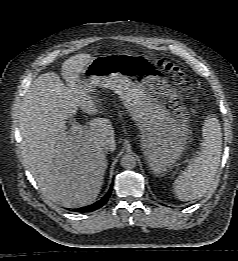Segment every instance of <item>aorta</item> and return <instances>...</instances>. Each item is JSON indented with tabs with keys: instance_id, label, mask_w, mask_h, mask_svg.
Returning a JSON list of instances; mask_svg holds the SVG:
<instances>
[{
	"instance_id": "obj_1",
	"label": "aorta",
	"mask_w": 238,
	"mask_h": 261,
	"mask_svg": "<svg viewBox=\"0 0 238 261\" xmlns=\"http://www.w3.org/2000/svg\"><path fill=\"white\" fill-rule=\"evenodd\" d=\"M120 165L124 169H133L136 166V158L132 154H125L120 160Z\"/></svg>"
}]
</instances>
